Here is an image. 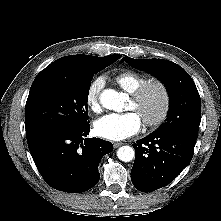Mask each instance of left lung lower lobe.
<instances>
[{
	"label": "left lung lower lobe",
	"mask_w": 221,
	"mask_h": 221,
	"mask_svg": "<svg viewBox=\"0 0 221 221\" xmlns=\"http://www.w3.org/2000/svg\"><path fill=\"white\" fill-rule=\"evenodd\" d=\"M197 135L181 132L152 133L133 145V185L151 192L168 185L191 162Z\"/></svg>",
	"instance_id": "left-lung-lower-lobe-1"
}]
</instances>
